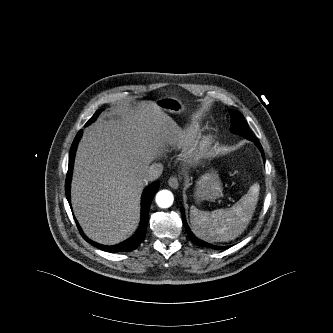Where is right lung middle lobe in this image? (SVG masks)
Listing matches in <instances>:
<instances>
[{
    "mask_svg": "<svg viewBox=\"0 0 333 333\" xmlns=\"http://www.w3.org/2000/svg\"><path fill=\"white\" fill-rule=\"evenodd\" d=\"M101 112V110L96 111V113L92 116V118L86 123V125H89L90 123H92L97 116L99 115V113Z\"/></svg>",
    "mask_w": 333,
    "mask_h": 333,
    "instance_id": "right-lung-middle-lobe-1",
    "label": "right lung middle lobe"
}]
</instances>
